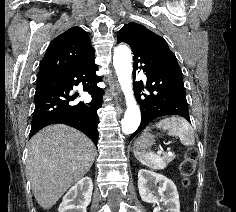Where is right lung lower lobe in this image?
<instances>
[{"label": "right lung lower lobe", "instance_id": "1", "mask_svg": "<svg viewBox=\"0 0 236 212\" xmlns=\"http://www.w3.org/2000/svg\"><path fill=\"white\" fill-rule=\"evenodd\" d=\"M94 59L95 54L70 71L37 76L29 137L45 126L63 123L80 130L97 145V110L101 107L103 92L97 87L101 77L96 75L98 66ZM79 84L91 95L90 103L77 102L78 94H70Z\"/></svg>", "mask_w": 236, "mask_h": 212}]
</instances>
